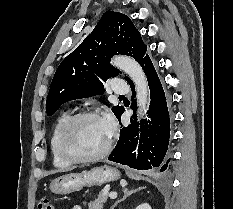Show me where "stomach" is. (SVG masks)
I'll return each mask as SVG.
<instances>
[{
	"mask_svg": "<svg viewBox=\"0 0 233 209\" xmlns=\"http://www.w3.org/2000/svg\"><path fill=\"white\" fill-rule=\"evenodd\" d=\"M120 178V172L110 166H100L80 173H68L55 178L50 184V190L55 194H69L80 191L84 187L116 181Z\"/></svg>",
	"mask_w": 233,
	"mask_h": 209,
	"instance_id": "obj_1",
	"label": "stomach"
}]
</instances>
